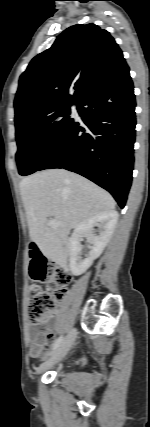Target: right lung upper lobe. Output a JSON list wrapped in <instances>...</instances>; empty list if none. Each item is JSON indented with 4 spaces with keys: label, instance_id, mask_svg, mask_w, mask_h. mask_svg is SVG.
Segmentation results:
<instances>
[{
    "label": "right lung upper lobe",
    "instance_id": "1",
    "mask_svg": "<svg viewBox=\"0 0 150 427\" xmlns=\"http://www.w3.org/2000/svg\"><path fill=\"white\" fill-rule=\"evenodd\" d=\"M125 67L122 51L108 31L92 23L71 26L49 49L33 58L20 76L15 121L38 109L77 105Z\"/></svg>",
    "mask_w": 150,
    "mask_h": 427
}]
</instances>
